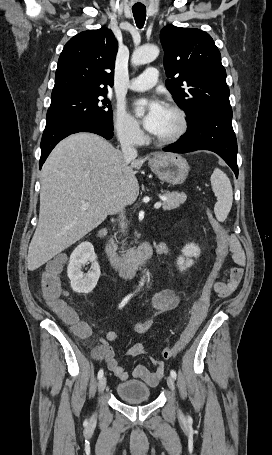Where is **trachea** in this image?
Returning a JSON list of instances; mask_svg holds the SVG:
<instances>
[{
    "label": "trachea",
    "instance_id": "obj_1",
    "mask_svg": "<svg viewBox=\"0 0 272 455\" xmlns=\"http://www.w3.org/2000/svg\"><path fill=\"white\" fill-rule=\"evenodd\" d=\"M133 16L136 22V25L139 29L143 28L145 19H146V8L142 7H132Z\"/></svg>",
    "mask_w": 272,
    "mask_h": 455
}]
</instances>
